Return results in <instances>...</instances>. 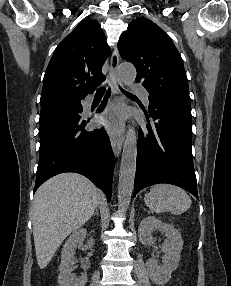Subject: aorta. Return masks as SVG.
<instances>
[{
  "mask_svg": "<svg viewBox=\"0 0 231 286\" xmlns=\"http://www.w3.org/2000/svg\"><path fill=\"white\" fill-rule=\"evenodd\" d=\"M118 74L126 86H131L136 79V69L132 64L124 63L119 66ZM133 124V122H132ZM137 159V136L134 127H128L126 134L118 183V206L125 211L129 207L134 188Z\"/></svg>",
  "mask_w": 231,
  "mask_h": 286,
  "instance_id": "obj_1",
  "label": "aorta"
}]
</instances>
